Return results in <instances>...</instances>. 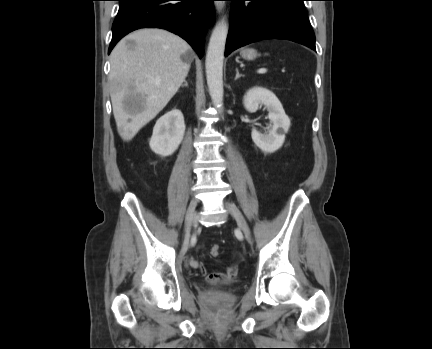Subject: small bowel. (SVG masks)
Segmentation results:
<instances>
[{"mask_svg":"<svg viewBox=\"0 0 432 349\" xmlns=\"http://www.w3.org/2000/svg\"><path fill=\"white\" fill-rule=\"evenodd\" d=\"M200 271L202 274H204L205 280L208 284H228L236 278L238 274V267L236 265H232L224 272L206 273L204 268H201Z\"/></svg>","mask_w":432,"mask_h":349,"instance_id":"obj_1","label":"small bowel"}]
</instances>
